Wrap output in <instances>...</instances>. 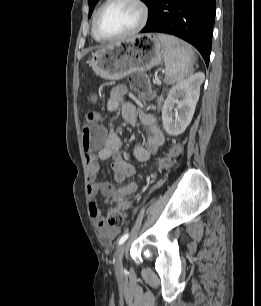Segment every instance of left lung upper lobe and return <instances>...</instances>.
<instances>
[{
    "mask_svg": "<svg viewBox=\"0 0 261 306\" xmlns=\"http://www.w3.org/2000/svg\"><path fill=\"white\" fill-rule=\"evenodd\" d=\"M99 0H88V3H89V17L91 16L92 12H93V9L96 5V3L98 2ZM146 5H148L150 3L151 0H142Z\"/></svg>",
    "mask_w": 261,
    "mask_h": 306,
    "instance_id": "1",
    "label": "left lung upper lobe"
}]
</instances>
